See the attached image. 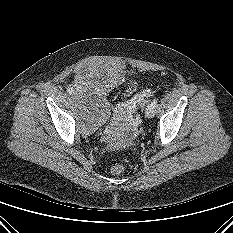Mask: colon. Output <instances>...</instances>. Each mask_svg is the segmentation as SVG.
<instances>
[{"mask_svg": "<svg viewBox=\"0 0 233 233\" xmlns=\"http://www.w3.org/2000/svg\"><path fill=\"white\" fill-rule=\"evenodd\" d=\"M125 171V166L120 163H116L111 167V172L114 175H120Z\"/></svg>", "mask_w": 233, "mask_h": 233, "instance_id": "obj_1", "label": "colon"}]
</instances>
